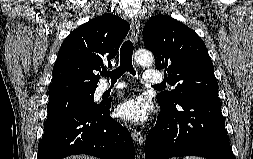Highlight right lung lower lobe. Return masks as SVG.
<instances>
[{
  "instance_id": "right-lung-lower-lobe-1",
  "label": "right lung lower lobe",
  "mask_w": 253,
  "mask_h": 159,
  "mask_svg": "<svg viewBox=\"0 0 253 159\" xmlns=\"http://www.w3.org/2000/svg\"><path fill=\"white\" fill-rule=\"evenodd\" d=\"M111 102L71 113L44 129L37 159L89 154L101 159H135L129 131L110 117Z\"/></svg>"
}]
</instances>
